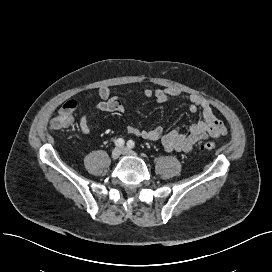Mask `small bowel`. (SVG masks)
<instances>
[{"label": "small bowel", "mask_w": 272, "mask_h": 272, "mask_svg": "<svg viewBox=\"0 0 272 272\" xmlns=\"http://www.w3.org/2000/svg\"><path fill=\"white\" fill-rule=\"evenodd\" d=\"M144 95L147 98H155L158 102H165L167 99L174 97L180 98L187 102L191 112H198L200 119L192 124L187 132H181L173 129L165 131L158 126L153 129L144 130L136 126H128L126 132L130 135L141 137L150 141L160 140L166 151L190 152L194 145L209 137L217 138L224 136L227 129L223 122L219 120L213 110L211 102L198 95H185L177 88H161V89H146ZM97 96L100 101L96 103L89 111L84 113L79 119V128L84 135L91 134L89 125V117L94 111L116 112L123 113L125 111V104L118 96H112L109 87L103 86L95 92L88 93L85 97L91 99ZM71 108L72 120L74 119V111L77 107L75 100L66 102L62 107Z\"/></svg>", "instance_id": "small-bowel-1"}]
</instances>
